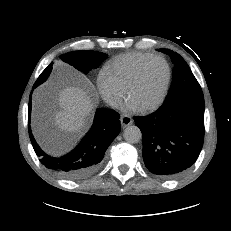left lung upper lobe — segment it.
<instances>
[{
  "label": "left lung upper lobe",
  "instance_id": "obj_1",
  "mask_svg": "<svg viewBox=\"0 0 231 231\" xmlns=\"http://www.w3.org/2000/svg\"><path fill=\"white\" fill-rule=\"evenodd\" d=\"M159 51L168 54L174 63L173 79L164 103L184 93L202 90L188 64L178 53L168 49H159Z\"/></svg>",
  "mask_w": 231,
  "mask_h": 231
}]
</instances>
